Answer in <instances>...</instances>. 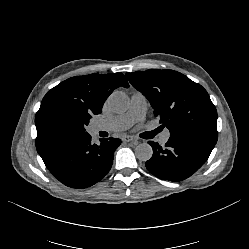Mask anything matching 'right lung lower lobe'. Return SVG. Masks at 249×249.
Wrapping results in <instances>:
<instances>
[{
    "label": "right lung lower lobe",
    "mask_w": 249,
    "mask_h": 249,
    "mask_svg": "<svg viewBox=\"0 0 249 249\" xmlns=\"http://www.w3.org/2000/svg\"><path fill=\"white\" fill-rule=\"evenodd\" d=\"M93 144L88 133L51 142L38 150L49 171L63 184L86 188L99 182L110 170L120 139H100Z\"/></svg>",
    "instance_id": "1"
}]
</instances>
